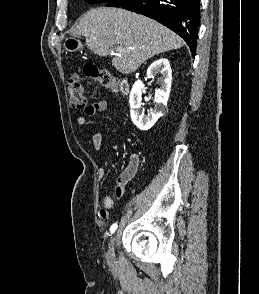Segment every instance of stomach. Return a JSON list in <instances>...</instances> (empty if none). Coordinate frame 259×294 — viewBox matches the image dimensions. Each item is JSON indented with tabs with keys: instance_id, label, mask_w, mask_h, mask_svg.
I'll use <instances>...</instances> for the list:
<instances>
[{
	"instance_id": "1",
	"label": "stomach",
	"mask_w": 259,
	"mask_h": 294,
	"mask_svg": "<svg viewBox=\"0 0 259 294\" xmlns=\"http://www.w3.org/2000/svg\"><path fill=\"white\" fill-rule=\"evenodd\" d=\"M63 47L68 52H75L82 48V44L76 36H70L65 39Z\"/></svg>"
}]
</instances>
